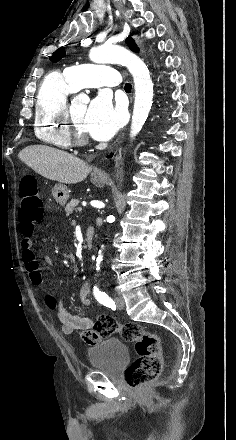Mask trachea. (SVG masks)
Segmentation results:
<instances>
[{
	"label": "trachea",
	"instance_id": "trachea-1",
	"mask_svg": "<svg viewBox=\"0 0 236 440\" xmlns=\"http://www.w3.org/2000/svg\"><path fill=\"white\" fill-rule=\"evenodd\" d=\"M131 89H132L131 84L126 83V84H125V90H126V91H130Z\"/></svg>",
	"mask_w": 236,
	"mask_h": 440
}]
</instances>
